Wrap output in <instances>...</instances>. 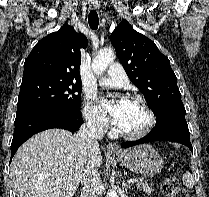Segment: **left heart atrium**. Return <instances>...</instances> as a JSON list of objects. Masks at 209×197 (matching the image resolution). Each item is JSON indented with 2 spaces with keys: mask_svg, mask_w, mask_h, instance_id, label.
Masks as SVG:
<instances>
[{
  "mask_svg": "<svg viewBox=\"0 0 209 197\" xmlns=\"http://www.w3.org/2000/svg\"><path fill=\"white\" fill-rule=\"evenodd\" d=\"M103 107L112 116L114 122L120 125L126 119L132 102L126 98L107 99L103 102Z\"/></svg>",
  "mask_w": 209,
  "mask_h": 197,
  "instance_id": "obj_1",
  "label": "left heart atrium"
}]
</instances>
